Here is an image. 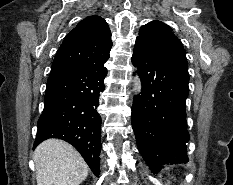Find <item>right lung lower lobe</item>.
I'll return each instance as SVG.
<instances>
[{"mask_svg": "<svg viewBox=\"0 0 233 185\" xmlns=\"http://www.w3.org/2000/svg\"><path fill=\"white\" fill-rule=\"evenodd\" d=\"M104 66L50 73L44 110L38 120L34 148L48 138L72 144L93 173L100 172L101 117L96 108L104 91Z\"/></svg>", "mask_w": 233, "mask_h": 185, "instance_id": "obj_1", "label": "right lung lower lobe"}]
</instances>
